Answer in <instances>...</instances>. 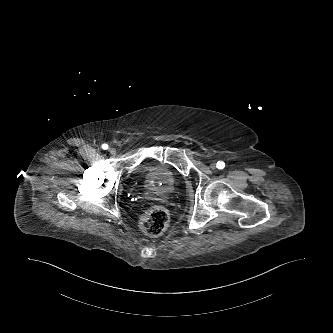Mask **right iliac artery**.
I'll return each mask as SVG.
<instances>
[{
  "label": "right iliac artery",
  "mask_w": 333,
  "mask_h": 333,
  "mask_svg": "<svg viewBox=\"0 0 333 333\" xmlns=\"http://www.w3.org/2000/svg\"><path fill=\"white\" fill-rule=\"evenodd\" d=\"M101 147H102L103 150H107L108 149V145L106 143L102 144Z\"/></svg>",
  "instance_id": "obj_1"
}]
</instances>
